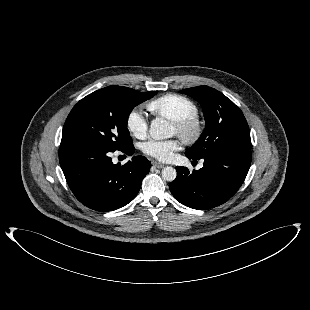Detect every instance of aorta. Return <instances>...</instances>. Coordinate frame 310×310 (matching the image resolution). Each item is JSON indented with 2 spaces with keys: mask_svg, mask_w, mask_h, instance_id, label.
Returning <instances> with one entry per match:
<instances>
[{
  "mask_svg": "<svg viewBox=\"0 0 310 310\" xmlns=\"http://www.w3.org/2000/svg\"><path fill=\"white\" fill-rule=\"evenodd\" d=\"M150 136L155 140H162L172 137L173 132L169 125V122L164 118H155L152 120L150 129ZM177 176L175 168L167 166L162 170V178L165 181H174Z\"/></svg>",
  "mask_w": 310,
  "mask_h": 310,
  "instance_id": "obj_1",
  "label": "aorta"
}]
</instances>
